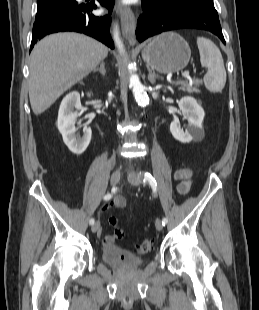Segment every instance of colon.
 Here are the masks:
<instances>
[{"label":"colon","instance_id":"colon-1","mask_svg":"<svg viewBox=\"0 0 259 310\" xmlns=\"http://www.w3.org/2000/svg\"><path fill=\"white\" fill-rule=\"evenodd\" d=\"M108 221L111 226L115 227L113 237L115 239H122L124 236V231L121 228L116 227L118 222L117 218L111 216ZM153 246H154V240L147 238L142 240L136 245L135 252L137 254H147L153 249Z\"/></svg>","mask_w":259,"mask_h":310}]
</instances>
